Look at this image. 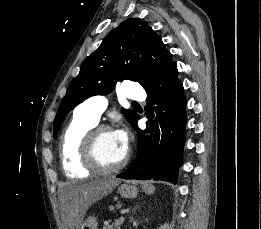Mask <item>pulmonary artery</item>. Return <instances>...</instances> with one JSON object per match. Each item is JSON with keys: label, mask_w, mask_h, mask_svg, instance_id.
Wrapping results in <instances>:
<instances>
[{"label": "pulmonary artery", "mask_w": 261, "mask_h": 229, "mask_svg": "<svg viewBox=\"0 0 261 229\" xmlns=\"http://www.w3.org/2000/svg\"><path fill=\"white\" fill-rule=\"evenodd\" d=\"M142 87V84H122V89H129L125 92V96L130 99H146ZM107 106L108 98L104 95H96L84 101L79 107L84 116L97 125Z\"/></svg>", "instance_id": "e3ab8cb5"}]
</instances>
